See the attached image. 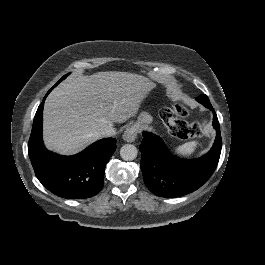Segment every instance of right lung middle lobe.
<instances>
[{
    "label": "right lung middle lobe",
    "instance_id": "1",
    "mask_svg": "<svg viewBox=\"0 0 265 265\" xmlns=\"http://www.w3.org/2000/svg\"><path fill=\"white\" fill-rule=\"evenodd\" d=\"M69 74L64 75L54 86H56L58 83H60L63 79H65Z\"/></svg>",
    "mask_w": 265,
    "mask_h": 265
}]
</instances>
